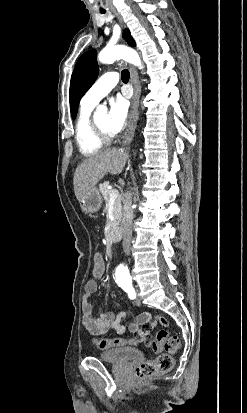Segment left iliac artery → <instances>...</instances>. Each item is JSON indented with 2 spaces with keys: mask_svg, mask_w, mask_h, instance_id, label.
<instances>
[{
  "mask_svg": "<svg viewBox=\"0 0 247 413\" xmlns=\"http://www.w3.org/2000/svg\"><path fill=\"white\" fill-rule=\"evenodd\" d=\"M121 288L128 294V297L130 299H135L136 298V293H135V290H134L132 284L122 285Z\"/></svg>",
  "mask_w": 247,
  "mask_h": 413,
  "instance_id": "left-iliac-artery-1",
  "label": "left iliac artery"
}]
</instances>
